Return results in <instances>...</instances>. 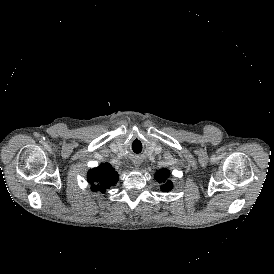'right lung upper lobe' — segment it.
Masks as SVG:
<instances>
[{
  "mask_svg": "<svg viewBox=\"0 0 274 274\" xmlns=\"http://www.w3.org/2000/svg\"><path fill=\"white\" fill-rule=\"evenodd\" d=\"M119 179L118 173L108 163L101 164L88 172L87 180L91 184L93 192L100 191L104 193L106 189L115 185Z\"/></svg>",
  "mask_w": 274,
  "mask_h": 274,
  "instance_id": "cb5924a9",
  "label": "right lung upper lobe"
}]
</instances>
